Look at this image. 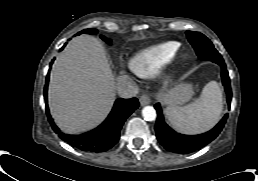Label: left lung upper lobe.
Segmentation results:
<instances>
[{"label": "left lung upper lobe", "instance_id": "1", "mask_svg": "<svg viewBox=\"0 0 258 181\" xmlns=\"http://www.w3.org/2000/svg\"><path fill=\"white\" fill-rule=\"evenodd\" d=\"M186 34L200 59L211 60L217 64L224 62L212 42L202 33L187 31Z\"/></svg>", "mask_w": 258, "mask_h": 181}]
</instances>
